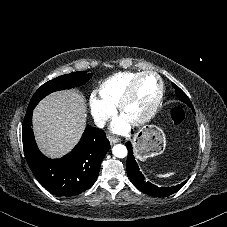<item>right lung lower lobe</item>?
Instances as JSON below:
<instances>
[{
  "label": "right lung lower lobe",
  "mask_w": 227,
  "mask_h": 227,
  "mask_svg": "<svg viewBox=\"0 0 227 227\" xmlns=\"http://www.w3.org/2000/svg\"><path fill=\"white\" fill-rule=\"evenodd\" d=\"M33 109H27L22 139L26 160L37 180L52 194L74 196L95 183L101 162L110 148L105 132L87 127L79 143L60 159H49L38 149L32 130Z\"/></svg>",
  "instance_id": "right-lung-lower-lobe-1"
}]
</instances>
